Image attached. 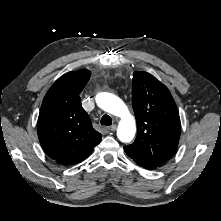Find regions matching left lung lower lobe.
Wrapping results in <instances>:
<instances>
[{
    "instance_id": "obj_1",
    "label": "left lung lower lobe",
    "mask_w": 221,
    "mask_h": 221,
    "mask_svg": "<svg viewBox=\"0 0 221 221\" xmlns=\"http://www.w3.org/2000/svg\"><path fill=\"white\" fill-rule=\"evenodd\" d=\"M138 165L146 168V169H155L157 167L153 166V165H150V164H146V163H142V162H139V161H135Z\"/></svg>"
}]
</instances>
